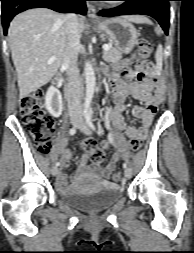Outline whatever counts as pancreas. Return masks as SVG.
<instances>
[{
    "label": "pancreas",
    "mask_w": 194,
    "mask_h": 253,
    "mask_svg": "<svg viewBox=\"0 0 194 253\" xmlns=\"http://www.w3.org/2000/svg\"><path fill=\"white\" fill-rule=\"evenodd\" d=\"M109 48L108 51L103 52V59L108 63L120 61L122 59V53L112 46H109Z\"/></svg>",
    "instance_id": "pancreas-1"
}]
</instances>
